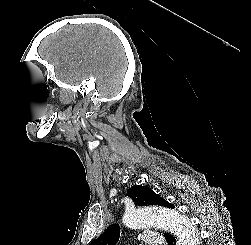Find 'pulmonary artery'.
<instances>
[{
    "label": "pulmonary artery",
    "instance_id": "obj_1",
    "mask_svg": "<svg viewBox=\"0 0 251 245\" xmlns=\"http://www.w3.org/2000/svg\"><path fill=\"white\" fill-rule=\"evenodd\" d=\"M145 245H163L164 240L162 237L155 234H145L143 236Z\"/></svg>",
    "mask_w": 251,
    "mask_h": 245
}]
</instances>
